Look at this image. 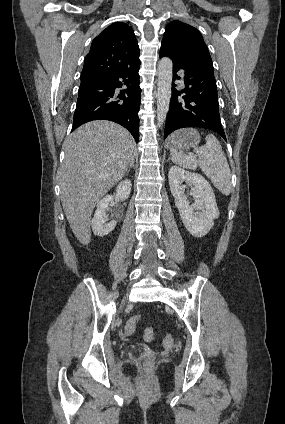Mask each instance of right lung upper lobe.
I'll list each match as a JSON object with an SVG mask.
<instances>
[{"label":"right lung upper lobe","mask_w":285,"mask_h":424,"mask_svg":"<svg viewBox=\"0 0 285 424\" xmlns=\"http://www.w3.org/2000/svg\"><path fill=\"white\" fill-rule=\"evenodd\" d=\"M139 47L133 30L116 22L93 41L81 73V82L107 77L140 63Z\"/></svg>","instance_id":"obj_1"}]
</instances>
